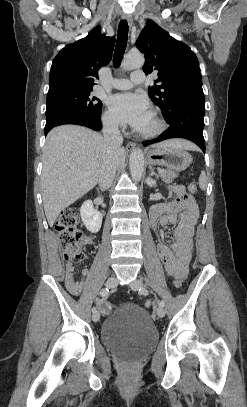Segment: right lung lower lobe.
Masks as SVG:
<instances>
[{
  "mask_svg": "<svg viewBox=\"0 0 247 407\" xmlns=\"http://www.w3.org/2000/svg\"><path fill=\"white\" fill-rule=\"evenodd\" d=\"M100 116L101 113L99 115H88L73 111L59 112L46 116L45 135L53 127L63 124H77L99 131L102 128Z\"/></svg>",
  "mask_w": 247,
  "mask_h": 407,
  "instance_id": "1",
  "label": "right lung lower lobe"
}]
</instances>
